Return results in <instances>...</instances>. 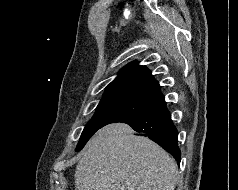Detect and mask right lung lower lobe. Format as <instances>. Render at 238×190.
Returning <instances> with one entry per match:
<instances>
[{"label": "right lung lower lobe", "mask_w": 238, "mask_h": 190, "mask_svg": "<svg viewBox=\"0 0 238 190\" xmlns=\"http://www.w3.org/2000/svg\"><path fill=\"white\" fill-rule=\"evenodd\" d=\"M122 123L130 125L137 132L147 134L151 140L169 152L180 164L181 152L178 148V132L166 107L165 100Z\"/></svg>", "instance_id": "obj_1"}]
</instances>
